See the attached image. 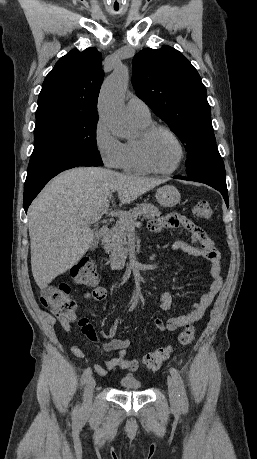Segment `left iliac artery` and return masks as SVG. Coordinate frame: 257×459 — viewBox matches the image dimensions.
I'll return each mask as SVG.
<instances>
[{"label": "left iliac artery", "instance_id": "obj_1", "mask_svg": "<svg viewBox=\"0 0 257 459\" xmlns=\"http://www.w3.org/2000/svg\"><path fill=\"white\" fill-rule=\"evenodd\" d=\"M170 374L173 377L177 387H178V393H179V398H180V404L182 406V409L187 412L188 411V399L186 395V390L184 386L183 379L179 373V371L176 368H170Z\"/></svg>", "mask_w": 257, "mask_h": 459}]
</instances>
